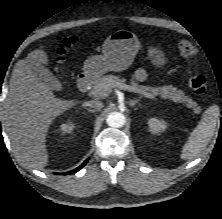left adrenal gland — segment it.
Instances as JSON below:
<instances>
[{
	"instance_id": "a2214340",
	"label": "left adrenal gland",
	"mask_w": 222,
	"mask_h": 219,
	"mask_svg": "<svg viewBox=\"0 0 222 219\" xmlns=\"http://www.w3.org/2000/svg\"><path fill=\"white\" fill-rule=\"evenodd\" d=\"M140 101V99L137 100H129V104L131 107H135L136 104H138Z\"/></svg>"
}]
</instances>
